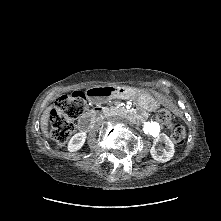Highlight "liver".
<instances>
[{
  "label": "liver",
  "instance_id": "1",
  "mask_svg": "<svg viewBox=\"0 0 221 221\" xmlns=\"http://www.w3.org/2000/svg\"><path fill=\"white\" fill-rule=\"evenodd\" d=\"M51 110H52V106L47 107L44 110L41 116V120H40L41 131L47 139H52L51 134L48 132V122H49Z\"/></svg>",
  "mask_w": 221,
  "mask_h": 221
}]
</instances>
